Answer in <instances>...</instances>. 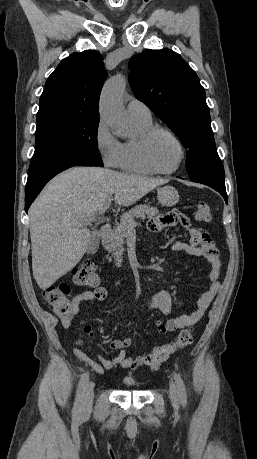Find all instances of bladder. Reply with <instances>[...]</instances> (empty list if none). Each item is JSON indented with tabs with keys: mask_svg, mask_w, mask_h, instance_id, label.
Returning <instances> with one entry per match:
<instances>
[{
	"mask_svg": "<svg viewBox=\"0 0 257 459\" xmlns=\"http://www.w3.org/2000/svg\"><path fill=\"white\" fill-rule=\"evenodd\" d=\"M122 383L126 387H136L138 385L136 380L134 378H132V377H129V376L123 378Z\"/></svg>",
	"mask_w": 257,
	"mask_h": 459,
	"instance_id": "bladder-1",
	"label": "bladder"
}]
</instances>
